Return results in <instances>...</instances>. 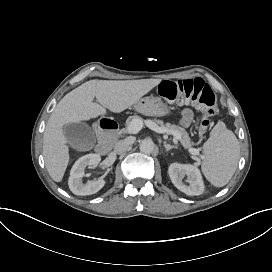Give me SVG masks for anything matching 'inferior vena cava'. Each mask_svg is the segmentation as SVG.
Segmentation results:
<instances>
[{
  "instance_id": "1",
  "label": "inferior vena cava",
  "mask_w": 272,
  "mask_h": 272,
  "mask_svg": "<svg viewBox=\"0 0 272 272\" xmlns=\"http://www.w3.org/2000/svg\"><path fill=\"white\" fill-rule=\"evenodd\" d=\"M129 149V144L125 140L118 141L114 146V151L117 154H123Z\"/></svg>"
}]
</instances>
